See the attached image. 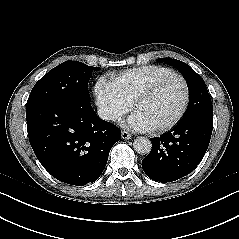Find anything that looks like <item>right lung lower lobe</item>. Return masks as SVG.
Segmentation results:
<instances>
[{
  "mask_svg": "<svg viewBox=\"0 0 239 239\" xmlns=\"http://www.w3.org/2000/svg\"><path fill=\"white\" fill-rule=\"evenodd\" d=\"M32 149L59 181L83 186L103 172L121 131L101 120L90 103H40L26 108Z\"/></svg>",
  "mask_w": 239,
  "mask_h": 239,
  "instance_id": "1",
  "label": "right lung lower lobe"
}]
</instances>
